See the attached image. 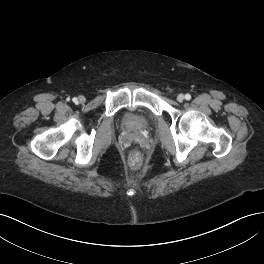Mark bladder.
<instances>
[{
	"label": "bladder",
	"mask_w": 264,
	"mask_h": 264,
	"mask_svg": "<svg viewBox=\"0 0 264 264\" xmlns=\"http://www.w3.org/2000/svg\"><path fill=\"white\" fill-rule=\"evenodd\" d=\"M151 117L148 113H130L124 117V125L129 129H145L149 126Z\"/></svg>",
	"instance_id": "31cf9c89"
}]
</instances>
